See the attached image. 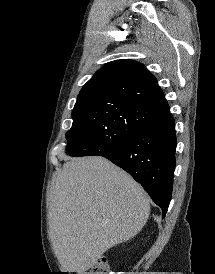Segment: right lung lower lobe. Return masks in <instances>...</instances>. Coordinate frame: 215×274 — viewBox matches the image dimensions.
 I'll return each instance as SVG.
<instances>
[{"label":"right lung lower lobe","instance_id":"right-lung-lower-lobe-1","mask_svg":"<svg viewBox=\"0 0 215 274\" xmlns=\"http://www.w3.org/2000/svg\"><path fill=\"white\" fill-rule=\"evenodd\" d=\"M175 121L166 111L156 115L115 149L102 153L140 183L161 207L164 218L171 200L175 169Z\"/></svg>","mask_w":215,"mask_h":274}]
</instances>
